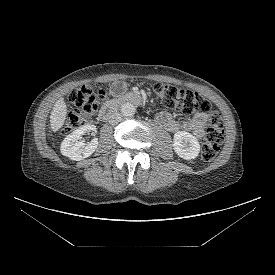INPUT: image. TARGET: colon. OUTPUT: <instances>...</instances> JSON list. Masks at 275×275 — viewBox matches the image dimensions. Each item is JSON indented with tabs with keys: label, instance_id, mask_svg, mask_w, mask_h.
Segmentation results:
<instances>
[{
	"label": "colon",
	"instance_id": "5ec220e1",
	"mask_svg": "<svg viewBox=\"0 0 275 275\" xmlns=\"http://www.w3.org/2000/svg\"><path fill=\"white\" fill-rule=\"evenodd\" d=\"M156 99L170 109H177L184 114L209 113V102L199 93L157 83L153 86ZM105 99V92L95 90L91 86H83L70 95L73 109L61 128V133H69L87 123L92 122L96 113ZM224 140V125L221 116L212 112L201 147L202 158L206 161L213 160L219 152V147Z\"/></svg>",
	"mask_w": 275,
	"mask_h": 275
}]
</instances>
